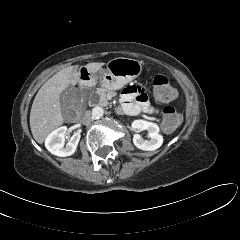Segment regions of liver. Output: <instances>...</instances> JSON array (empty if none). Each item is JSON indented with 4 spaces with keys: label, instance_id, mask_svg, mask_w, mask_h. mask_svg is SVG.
Wrapping results in <instances>:
<instances>
[{
    "label": "liver",
    "instance_id": "liver-1",
    "mask_svg": "<svg viewBox=\"0 0 240 240\" xmlns=\"http://www.w3.org/2000/svg\"><path fill=\"white\" fill-rule=\"evenodd\" d=\"M104 63H88L86 70L93 74L102 69ZM78 65L69 66L48 79L37 92L31 112L30 128L36 142L42 144L51 131L64 123L61 112L60 94L80 80Z\"/></svg>",
    "mask_w": 240,
    "mask_h": 240
}]
</instances>
